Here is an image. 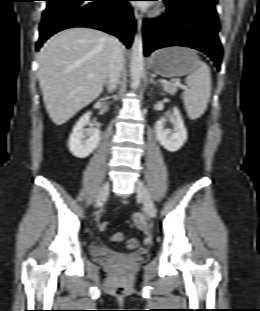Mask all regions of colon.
Wrapping results in <instances>:
<instances>
[{
    "label": "colon",
    "mask_w": 260,
    "mask_h": 311,
    "mask_svg": "<svg viewBox=\"0 0 260 311\" xmlns=\"http://www.w3.org/2000/svg\"><path fill=\"white\" fill-rule=\"evenodd\" d=\"M108 228V222H103L100 225V229L102 231L106 230ZM124 239V235L121 232H116L111 236V240L114 242H120ZM126 245L128 247V249L130 250H135L138 248L139 246V241L136 238H129L126 242Z\"/></svg>",
    "instance_id": "obj_1"
}]
</instances>
